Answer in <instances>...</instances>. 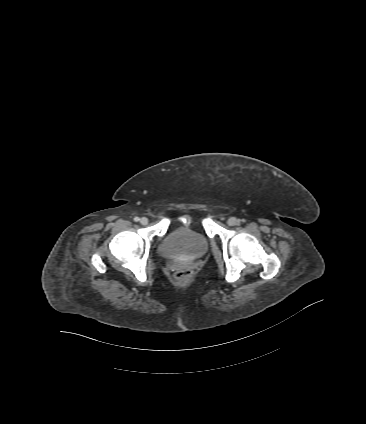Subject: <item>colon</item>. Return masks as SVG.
Instances as JSON below:
<instances>
[{"instance_id": "colon-1", "label": "colon", "mask_w": 366, "mask_h": 424, "mask_svg": "<svg viewBox=\"0 0 366 424\" xmlns=\"http://www.w3.org/2000/svg\"><path fill=\"white\" fill-rule=\"evenodd\" d=\"M176 279L185 281L190 277L191 271L185 266H176L173 269Z\"/></svg>"}]
</instances>
